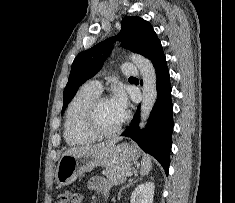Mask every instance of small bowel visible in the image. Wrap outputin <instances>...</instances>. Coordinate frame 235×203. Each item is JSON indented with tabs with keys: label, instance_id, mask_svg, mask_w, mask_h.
Listing matches in <instances>:
<instances>
[{
	"label": "small bowel",
	"instance_id": "small-bowel-1",
	"mask_svg": "<svg viewBox=\"0 0 235 203\" xmlns=\"http://www.w3.org/2000/svg\"><path fill=\"white\" fill-rule=\"evenodd\" d=\"M89 189L99 193L104 198L108 197L110 192L109 182L100 176L92 177L88 182Z\"/></svg>",
	"mask_w": 235,
	"mask_h": 203
}]
</instances>
